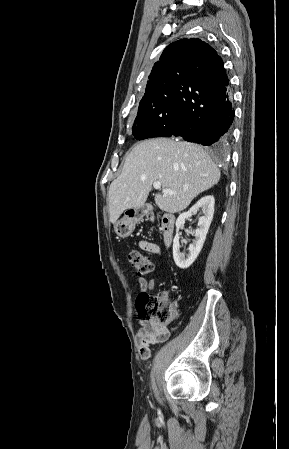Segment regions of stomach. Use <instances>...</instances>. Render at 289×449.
<instances>
[{"label":"stomach","mask_w":289,"mask_h":449,"mask_svg":"<svg viewBox=\"0 0 289 449\" xmlns=\"http://www.w3.org/2000/svg\"><path fill=\"white\" fill-rule=\"evenodd\" d=\"M137 217L124 216L115 225V232L121 238L128 237L135 229Z\"/></svg>","instance_id":"1"}]
</instances>
